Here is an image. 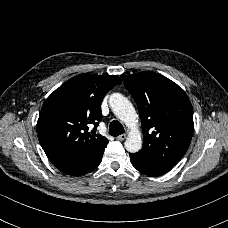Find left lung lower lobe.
Instances as JSON below:
<instances>
[{
  "mask_svg": "<svg viewBox=\"0 0 228 228\" xmlns=\"http://www.w3.org/2000/svg\"><path fill=\"white\" fill-rule=\"evenodd\" d=\"M132 165L141 173L148 176H160L167 173L172 166L157 165L138 158L135 154H130Z\"/></svg>",
  "mask_w": 228,
  "mask_h": 228,
  "instance_id": "0a47b994",
  "label": "left lung lower lobe"
}]
</instances>
